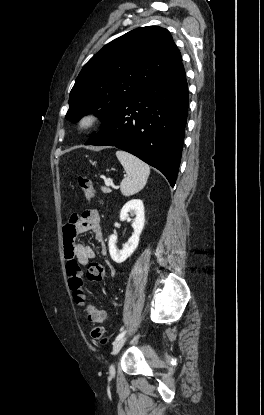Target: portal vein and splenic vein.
I'll return each mask as SVG.
<instances>
[{
    "instance_id": "portal-vein-and-splenic-vein-1",
    "label": "portal vein and splenic vein",
    "mask_w": 264,
    "mask_h": 415,
    "mask_svg": "<svg viewBox=\"0 0 264 415\" xmlns=\"http://www.w3.org/2000/svg\"><path fill=\"white\" fill-rule=\"evenodd\" d=\"M105 185L106 186H111L112 185V181H110V180H105Z\"/></svg>"
}]
</instances>
